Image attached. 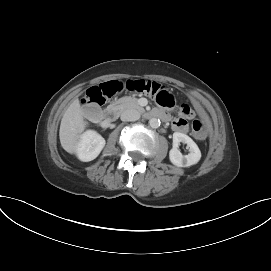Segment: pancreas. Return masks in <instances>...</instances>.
<instances>
[{
  "instance_id": "obj_1",
  "label": "pancreas",
  "mask_w": 271,
  "mask_h": 271,
  "mask_svg": "<svg viewBox=\"0 0 271 271\" xmlns=\"http://www.w3.org/2000/svg\"><path fill=\"white\" fill-rule=\"evenodd\" d=\"M110 108L118 112H123L128 109H135L139 112H144V108L138 104V100L130 96H125L118 99L116 102L110 105Z\"/></svg>"
}]
</instances>
